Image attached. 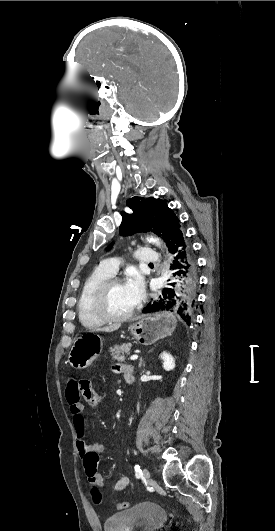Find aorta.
Returning <instances> with one entry per match:
<instances>
[{"mask_svg":"<svg viewBox=\"0 0 275 531\" xmlns=\"http://www.w3.org/2000/svg\"><path fill=\"white\" fill-rule=\"evenodd\" d=\"M152 243H155V245H158V247H159V245H160L158 239H152Z\"/></svg>","mask_w":275,"mask_h":531,"instance_id":"762f6f07","label":"aorta"}]
</instances>
